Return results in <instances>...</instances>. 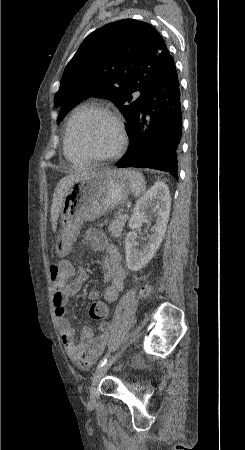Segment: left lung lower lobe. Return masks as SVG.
Segmentation results:
<instances>
[{
    "label": "left lung lower lobe",
    "mask_w": 245,
    "mask_h": 450,
    "mask_svg": "<svg viewBox=\"0 0 245 450\" xmlns=\"http://www.w3.org/2000/svg\"><path fill=\"white\" fill-rule=\"evenodd\" d=\"M182 132L179 81L171 56L149 87L128 132V151L118 168H152L178 179L177 155Z\"/></svg>",
    "instance_id": "obj_1"
}]
</instances>
